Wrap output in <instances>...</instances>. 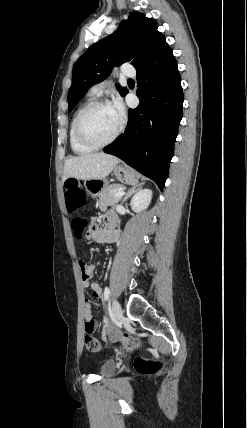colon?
Wrapping results in <instances>:
<instances>
[{
  "instance_id": "1",
  "label": "colon",
  "mask_w": 247,
  "mask_h": 428,
  "mask_svg": "<svg viewBox=\"0 0 247 428\" xmlns=\"http://www.w3.org/2000/svg\"><path fill=\"white\" fill-rule=\"evenodd\" d=\"M64 188L65 195L63 199L65 208H67V217H72L71 224L75 236L80 239L89 232L90 227L94 224V219L93 217H86L88 213L87 205L85 204V192L81 183L75 179H68L64 184ZM80 264H83V262L80 261ZM80 304L95 306V300H81ZM97 308H100V305H97ZM99 312H102V309H99ZM97 326V321L92 320L90 317L85 318L83 329L87 335L85 336L84 342L86 348L92 352H97L101 348L100 342L91 336L96 332ZM123 342L128 348H134L139 344L137 338L127 334L124 335ZM137 366L141 371L154 372L159 369L160 364L138 361Z\"/></svg>"
}]
</instances>
